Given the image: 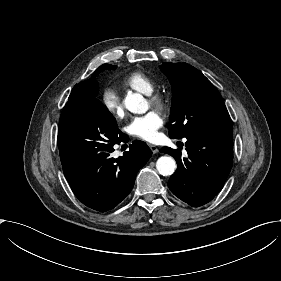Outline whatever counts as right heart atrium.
<instances>
[{
	"instance_id": "d8ad5b80",
	"label": "right heart atrium",
	"mask_w": 281,
	"mask_h": 281,
	"mask_svg": "<svg viewBox=\"0 0 281 281\" xmlns=\"http://www.w3.org/2000/svg\"><path fill=\"white\" fill-rule=\"evenodd\" d=\"M101 102L108 113L122 115L123 105L118 92L114 88L106 87L102 90Z\"/></svg>"
}]
</instances>
